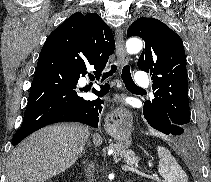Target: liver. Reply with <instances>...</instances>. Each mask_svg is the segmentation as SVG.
I'll list each match as a JSON object with an SVG mask.
<instances>
[{
	"instance_id": "6515ba94",
	"label": "liver",
	"mask_w": 211,
	"mask_h": 182,
	"mask_svg": "<svg viewBox=\"0 0 211 182\" xmlns=\"http://www.w3.org/2000/svg\"><path fill=\"white\" fill-rule=\"evenodd\" d=\"M89 129L80 124L45 127L13 149L7 166V182H46L70 168L89 138ZM96 146L102 143L93 135Z\"/></svg>"
}]
</instances>
